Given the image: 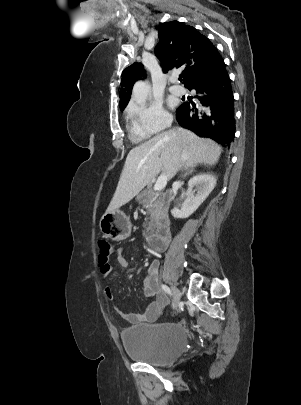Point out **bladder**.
Listing matches in <instances>:
<instances>
[{"mask_svg":"<svg viewBox=\"0 0 301 405\" xmlns=\"http://www.w3.org/2000/svg\"><path fill=\"white\" fill-rule=\"evenodd\" d=\"M121 340L131 359L157 366L176 361L188 344L183 326L171 322L125 328Z\"/></svg>","mask_w":301,"mask_h":405,"instance_id":"obj_1","label":"bladder"}]
</instances>
